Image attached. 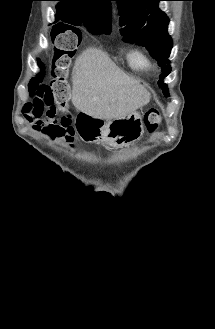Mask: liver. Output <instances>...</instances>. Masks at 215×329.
I'll use <instances>...</instances> for the list:
<instances>
[{"instance_id": "1", "label": "liver", "mask_w": 215, "mask_h": 329, "mask_svg": "<svg viewBox=\"0 0 215 329\" xmlns=\"http://www.w3.org/2000/svg\"><path fill=\"white\" fill-rule=\"evenodd\" d=\"M71 101L96 119L112 120L147 105L150 93L102 51L89 48L75 61Z\"/></svg>"}]
</instances>
